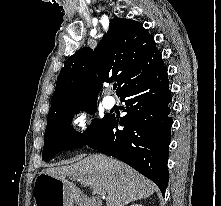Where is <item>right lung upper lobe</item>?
<instances>
[{
  "instance_id": "right-lung-upper-lobe-1",
  "label": "right lung upper lobe",
  "mask_w": 221,
  "mask_h": 206,
  "mask_svg": "<svg viewBox=\"0 0 221 206\" xmlns=\"http://www.w3.org/2000/svg\"><path fill=\"white\" fill-rule=\"evenodd\" d=\"M161 62L154 37L142 24L114 18L94 51L84 47L66 60L57 78L49 114L82 103H96L104 82L115 80L119 86L116 93L120 96Z\"/></svg>"
}]
</instances>
